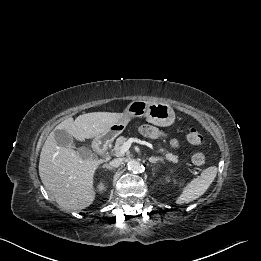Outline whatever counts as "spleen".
I'll list each match as a JSON object with an SVG mask.
<instances>
[{
  "label": "spleen",
  "mask_w": 261,
  "mask_h": 261,
  "mask_svg": "<svg viewBox=\"0 0 261 261\" xmlns=\"http://www.w3.org/2000/svg\"><path fill=\"white\" fill-rule=\"evenodd\" d=\"M216 175L217 167L211 166L204 169L200 176L194 178L183 188L182 193L176 199V203L180 205L189 203L202 196L214 181Z\"/></svg>",
  "instance_id": "spleen-1"
}]
</instances>
